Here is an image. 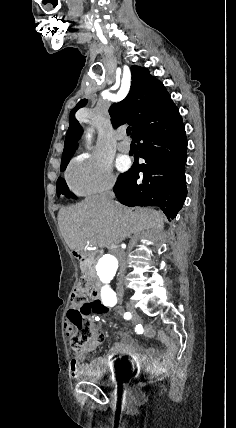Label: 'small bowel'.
I'll return each instance as SVG.
<instances>
[{"label":"small bowel","instance_id":"c3829d8e","mask_svg":"<svg viewBox=\"0 0 236 428\" xmlns=\"http://www.w3.org/2000/svg\"><path fill=\"white\" fill-rule=\"evenodd\" d=\"M135 332L140 335H145L147 338H153L156 335L153 328L148 325H137L135 327ZM157 336L164 344V349L162 351H156L154 349L142 350L132 338L123 335L122 342L115 344L110 349L108 356L99 359L97 363L111 364L113 363L115 356L127 354L131 356L133 363L138 367H143L147 371H157L163 367V365L174 355L176 351L175 344L163 331H158ZM103 338L104 336L100 335V339ZM84 360L85 352H78L72 359L71 371L74 376H78L83 370L85 366Z\"/></svg>","mask_w":236,"mask_h":428}]
</instances>
